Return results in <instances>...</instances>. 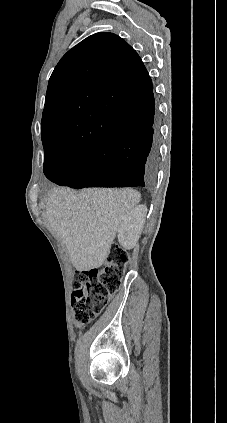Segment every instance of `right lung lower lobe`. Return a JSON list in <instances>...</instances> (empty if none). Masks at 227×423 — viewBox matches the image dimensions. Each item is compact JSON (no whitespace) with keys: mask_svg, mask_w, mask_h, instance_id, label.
Segmentation results:
<instances>
[{"mask_svg":"<svg viewBox=\"0 0 227 423\" xmlns=\"http://www.w3.org/2000/svg\"><path fill=\"white\" fill-rule=\"evenodd\" d=\"M108 118L129 120L131 128L98 143L75 160L44 163V174L60 186L153 187L159 164V126L152 93L146 99L101 108Z\"/></svg>","mask_w":227,"mask_h":423,"instance_id":"98d812e1","label":"right lung lower lobe"}]
</instances>
